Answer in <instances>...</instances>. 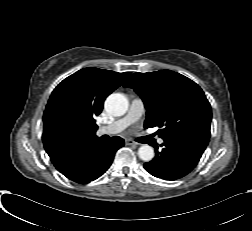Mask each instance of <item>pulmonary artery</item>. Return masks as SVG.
<instances>
[{
    "instance_id": "1",
    "label": "pulmonary artery",
    "mask_w": 252,
    "mask_h": 231,
    "mask_svg": "<svg viewBox=\"0 0 252 231\" xmlns=\"http://www.w3.org/2000/svg\"><path fill=\"white\" fill-rule=\"evenodd\" d=\"M145 107L144 103L141 99L135 98L131 101L127 114L114 121L113 123L102 126L98 129L99 134H116L124 129H126L129 125L136 122L141 116L144 114ZM163 139H159L158 143L163 144Z\"/></svg>"
}]
</instances>
